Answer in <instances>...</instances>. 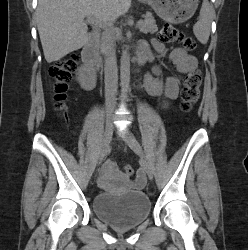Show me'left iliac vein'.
<instances>
[{
	"label": "left iliac vein",
	"instance_id": "1",
	"mask_svg": "<svg viewBox=\"0 0 248 250\" xmlns=\"http://www.w3.org/2000/svg\"><path fill=\"white\" fill-rule=\"evenodd\" d=\"M122 137L128 144V146L139 156L143 158V166L146 171V174L150 180L153 179L154 173L153 168L151 164L147 161V159L144 156L143 149L140 145V143L137 141V139L134 137V135L130 132V130L125 129L124 132H122Z\"/></svg>",
	"mask_w": 248,
	"mask_h": 250
}]
</instances>
